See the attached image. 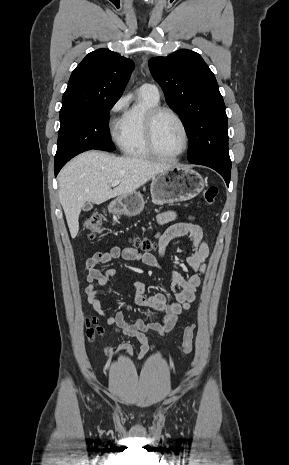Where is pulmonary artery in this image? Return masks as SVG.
I'll return each mask as SVG.
<instances>
[{
    "instance_id": "pulmonary-artery-1",
    "label": "pulmonary artery",
    "mask_w": 289,
    "mask_h": 465,
    "mask_svg": "<svg viewBox=\"0 0 289 465\" xmlns=\"http://www.w3.org/2000/svg\"><path fill=\"white\" fill-rule=\"evenodd\" d=\"M142 90L148 92L150 95H152L154 98L159 99V91L158 88L154 84L150 83H145L141 86Z\"/></svg>"
}]
</instances>
